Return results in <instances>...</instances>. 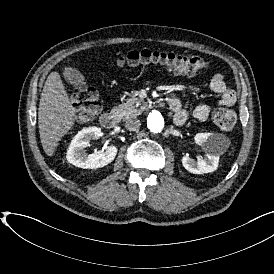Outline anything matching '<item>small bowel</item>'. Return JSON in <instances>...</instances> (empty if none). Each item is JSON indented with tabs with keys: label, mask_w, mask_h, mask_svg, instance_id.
<instances>
[{
	"label": "small bowel",
	"mask_w": 274,
	"mask_h": 274,
	"mask_svg": "<svg viewBox=\"0 0 274 274\" xmlns=\"http://www.w3.org/2000/svg\"><path fill=\"white\" fill-rule=\"evenodd\" d=\"M207 86L219 96L218 104L221 106H232L237 99L236 92L230 89L226 83L225 77L220 73H212L206 81ZM172 100L177 104L173 105ZM170 101V109L174 113V122L176 125H183L188 119V113L182 108L178 99ZM210 106L206 103L198 104L193 110V117L198 121H206L210 114Z\"/></svg>",
	"instance_id": "obj_1"
}]
</instances>
